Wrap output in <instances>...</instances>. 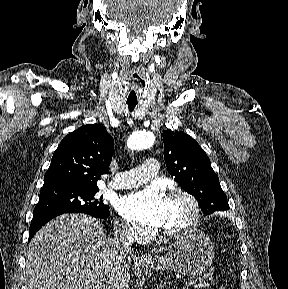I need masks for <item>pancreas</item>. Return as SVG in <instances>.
<instances>
[{"label": "pancreas", "mask_w": 288, "mask_h": 289, "mask_svg": "<svg viewBox=\"0 0 288 289\" xmlns=\"http://www.w3.org/2000/svg\"><path fill=\"white\" fill-rule=\"evenodd\" d=\"M213 280V269H210L206 273H204L201 277L198 278V283L196 287L205 288L210 285V281Z\"/></svg>", "instance_id": "1"}]
</instances>
